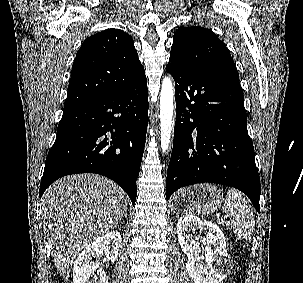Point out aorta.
<instances>
[{
    "label": "aorta",
    "instance_id": "1",
    "mask_svg": "<svg viewBox=\"0 0 303 283\" xmlns=\"http://www.w3.org/2000/svg\"><path fill=\"white\" fill-rule=\"evenodd\" d=\"M174 86L172 79L163 78L160 92V147L163 153L169 149L174 112Z\"/></svg>",
    "mask_w": 303,
    "mask_h": 283
}]
</instances>
